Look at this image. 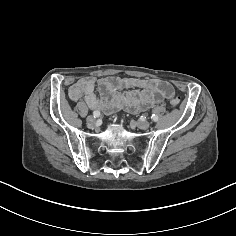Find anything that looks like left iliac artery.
<instances>
[{
    "label": "left iliac artery",
    "instance_id": "obj_1",
    "mask_svg": "<svg viewBox=\"0 0 236 236\" xmlns=\"http://www.w3.org/2000/svg\"><path fill=\"white\" fill-rule=\"evenodd\" d=\"M151 119H152V121L156 122V121H158V116L155 114H152Z\"/></svg>",
    "mask_w": 236,
    "mask_h": 236
}]
</instances>
